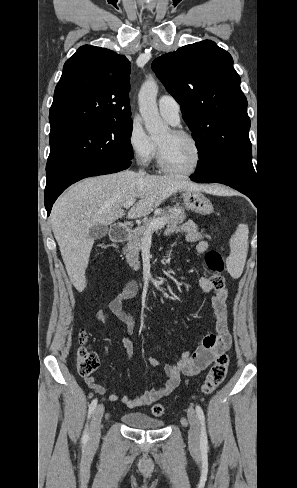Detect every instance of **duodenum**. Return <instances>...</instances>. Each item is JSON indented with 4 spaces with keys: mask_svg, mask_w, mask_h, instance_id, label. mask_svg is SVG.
Masks as SVG:
<instances>
[{
    "mask_svg": "<svg viewBox=\"0 0 297 488\" xmlns=\"http://www.w3.org/2000/svg\"><path fill=\"white\" fill-rule=\"evenodd\" d=\"M130 230L123 224H113L110 229V238L114 242H123L127 240Z\"/></svg>",
    "mask_w": 297,
    "mask_h": 488,
    "instance_id": "duodenum-1",
    "label": "duodenum"
}]
</instances>
